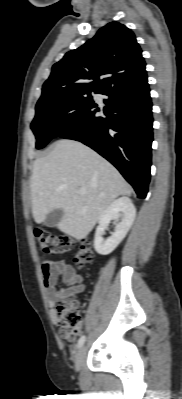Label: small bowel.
I'll use <instances>...</instances> for the list:
<instances>
[{
  "mask_svg": "<svg viewBox=\"0 0 182 399\" xmlns=\"http://www.w3.org/2000/svg\"><path fill=\"white\" fill-rule=\"evenodd\" d=\"M41 274L43 276L48 305L51 308V318L54 324H58L56 308L59 302L81 293L85 289L81 275L66 260H45L41 266ZM61 278L63 286L58 287V281ZM78 328L74 339L67 338L61 330L59 334L68 341H74L79 335Z\"/></svg>",
  "mask_w": 182,
  "mask_h": 399,
  "instance_id": "1",
  "label": "small bowel"
}]
</instances>
